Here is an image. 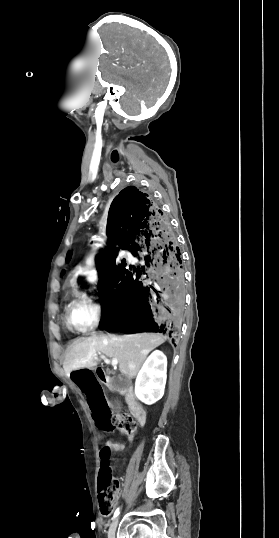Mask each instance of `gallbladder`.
Wrapping results in <instances>:
<instances>
[{
  "mask_svg": "<svg viewBox=\"0 0 279 538\" xmlns=\"http://www.w3.org/2000/svg\"><path fill=\"white\" fill-rule=\"evenodd\" d=\"M129 383H130V380L128 376H117V378H113V386L128 387ZM113 401H114L113 406L115 409L120 410L123 408L124 403L122 400L120 399L116 400V398H113Z\"/></svg>",
  "mask_w": 279,
  "mask_h": 538,
  "instance_id": "1",
  "label": "gallbladder"
}]
</instances>
